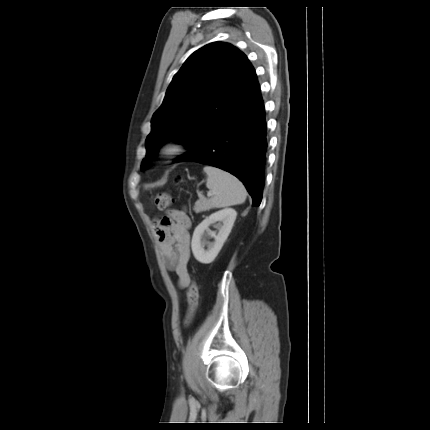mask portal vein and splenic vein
<instances>
[{
	"mask_svg": "<svg viewBox=\"0 0 430 430\" xmlns=\"http://www.w3.org/2000/svg\"><path fill=\"white\" fill-rule=\"evenodd\" d=\"M213 195V193L212 192H208L207 193V196L209 197V196H212Z\"/></svg>",
	"mask_w": 430,
	"mask_h": 430,
	"instance_id": "1",
	"label": "portal vein and splenic vein"
}]
</instances>
